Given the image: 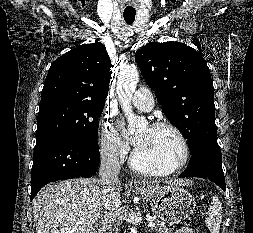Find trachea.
Segmentation results:
<instances>
[{"mask_svg": "<svg viewBox=\"0 0 253 233\" xmlns=\"http://www.w3.org/2000/svg\"><path fill=\"white\" fill-rule=\"evenodd\" d=\"M135 12H124L123 16L127 24H132L135 20Z\"/></svg>", "mask_w": 253, "mask_h": 233, "instance_id": "obj_1", "label": "trachea"}]
</instances>
